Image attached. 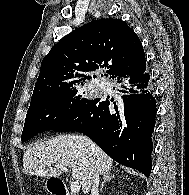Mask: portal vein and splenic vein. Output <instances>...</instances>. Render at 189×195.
Masks as SVG:
<instances>
[{"mask_svg":"<svg viewBox=\"0 0 189 195\" xmlns=\"http://www.w3.org/2000/svg\"><path fill=\"white\" fill-rule=\"evenodd\" d=\"M55 167L62 170V171H64V172H68L67 167L64 166V165L57 164V165H55ZM80 189H81V185H80L79 182L75 181V182L71 183L70 190H71L72 193L76 194L80 191Z\"/></svg>","mask_w":189,"mask_h":195,"instance_id":"1","label":"portal vein and splenic vein"}]
</instances>
